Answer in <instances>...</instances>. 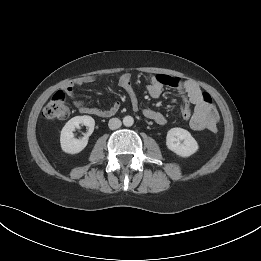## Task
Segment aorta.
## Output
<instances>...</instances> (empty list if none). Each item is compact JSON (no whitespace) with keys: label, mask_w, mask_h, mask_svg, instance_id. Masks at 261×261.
<instances>
[{"label":"aorta","mask_w":261,"mask_h":261,"mask_svg":"<svg viewBox=\"0 0 261 261\" xmlns=\"http://www.w3.org/2000/svg\"><path fill=\"white\" fill-rule=\"evenodd\" d=\"M133 123H134V119H133L132 116H129V115H128V116H125V117L123 118V124H124L126 127L132 126Z\"/></svg>","instance_id":"obj_1"}]
</instances>
